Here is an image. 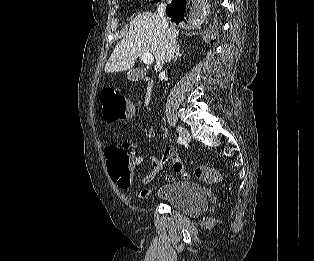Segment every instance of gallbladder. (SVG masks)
<instances>
[{"label": "gallbladder", "mask_w": 314, "mask_h": 261, "mask_svg": "<svg viewBox=\"0 0 314 261\" xmlns=\"http://www.w3.org/2000/svg\"><path fill=\"white\" fill-rule=\"evenodd\" d=\"M145 73V70L142 68L130 69L127 72V79L129 81H139L144 77Z\"/></svg>", "instance_id": "bac80fb5"}]
</instances>
